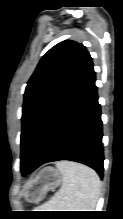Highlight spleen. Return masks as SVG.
<instances>
[{
	"mask_svg": "<svg viewBox=\"0 0 123 219\" xmlns=\"http://www.w3.org/2000/svg\"><path fill=\"white\" fill-rule=\"evenodd\" d=\"M56 166L63 176L62 186L41 208L44 211H94L101 188L97 173L71 161H60Z\"/></svg>",
	"mask_w": 123,
	"mask_h": 219,
	"instance_id": "obj_1",
	"label": "spleen"
}]
</instances>
